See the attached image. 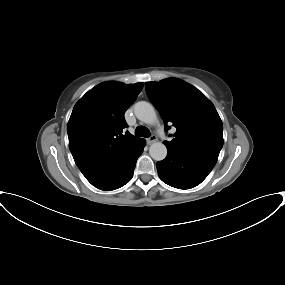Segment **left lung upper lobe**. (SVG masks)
I'll list each match as a JSON object with an SVG mask.
<instances>
[{
  "label": "left lung upper lobe",
  "mask_w": 285,
  "mask_h": 285,
  "mask_svg": "<svg viewBox=\"0 0 285 285\" xmlns=\"http://www.w3.org/2000/svg\"><path fill=\"white\" fill-rule=\"evenodd\" d=\"M146 92L161 114L164 127H176L167 148L216 163L223 146V124L210 100L179 79L146 83Z\"/></svg>",
  "instance_id": "left-lung-upper-lobe-1"
}]
</instances>
